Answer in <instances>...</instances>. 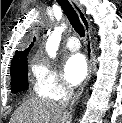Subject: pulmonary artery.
Instances as JSON below:
<instances>
[{
    "label": "pulmonary artery",
    "instance_id": "1",
    "mask_svg": "<svg viewBox=\"0 0 122 123\" xmlns=\"http://www.w3.org/2000/svg\"><path fill=\"white\" fill-rule=\"evenodd\" d=\"M66 46L70 51H77L80 48V43L76 37L72 36L68 38Z\"/></svg>",
    "mask_w": 122,
    "mask_h": 123
}]
</instances>
